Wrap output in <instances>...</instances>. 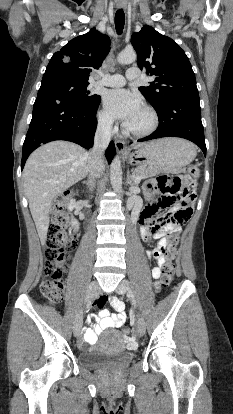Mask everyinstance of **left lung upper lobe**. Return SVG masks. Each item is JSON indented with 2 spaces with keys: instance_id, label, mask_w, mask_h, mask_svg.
<instances>
[{
  "instance_id": "obj_1",
  "label": "left lung upper lobe",
  "mask_w": 233,
  "mask_h": 414,
  "mask_svg": "<svg viewBox=\"0 0 233 414\" xmlns=\"http://www.w3.org/2000/svg\"><path fill=\"white\" fill-rule=\"evenodd\" d=\"M131 43L137 52L139 68L145 67L146 73L155 77L150 86L139 90L156 112L172 98L198 94L189 59L174 40L144 26L132 35Z\"/></svg>"
}]
</instances>
